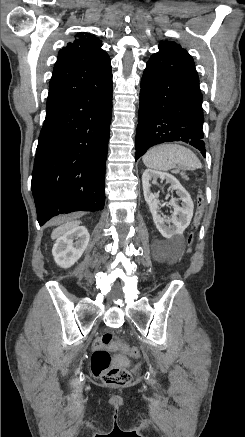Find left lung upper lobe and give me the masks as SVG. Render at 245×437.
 <instances>
[{"instance_id": "1", "label": "left lung upper lobe", "mask_w": 245, "mask_h": 437, "mask_svg": "<svg viewBox=\"0 0 245 437\" xmlns=\"http://www.w3.org/2000/svg\"><path fill=\"white\" fill-rule=\"evenodd\" d=\"M160 44H174V45H177V46L181 47L179 44H177L175 42H171V41L161 42Z\"/></svg>"}]
</instances>
